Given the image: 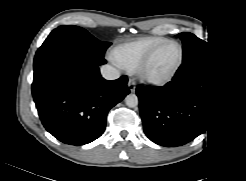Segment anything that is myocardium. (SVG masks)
<instances>
[{"label":"myocardium","mask_w":246,"mask_h":181,"mask_svg":"<svg viewBox=\"0 0 246 181\" xmlns=\"http://www.w3.org/2000/svg\"><path fill=\"white\" fill-rule=\"evenodd\" d=\"M169 45H175L178 47V57L175 62V64L170 68V70L162 75V79L167 80L171 78L174 73L177 71L178 67L180 66V63L183 58V49L182 46L176 42V41H171V42H165L161 45H159L156 49H154L146 58H144L140 64H139V69L141 72L148 78L153 77L150 73L151 66L156 60V58L159 56V54L163 51L164 48H166Z\"/></svg>","instance_id":"myocardium-1"}]
</instances>
